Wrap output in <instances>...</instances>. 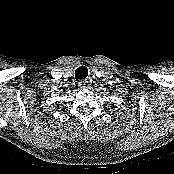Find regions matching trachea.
I'll return each instance as SVG.
<instances>
[{
  "mask_svg": "<svg viewBox=\"0 0 174 174\" xmlns=\"http://www.w3.org/2000/svg\"><path fill=\"white\" fill-rule=\"evenodd\" d=\"M88 76V69L86 67H78L75 70V78L76 80H84Z\"/></svg>",
  "mask_w": 174,
  "mask_h": 174,
  "instance_id": "trachea-1",
  "label": "trachea"
}]
</instances>
